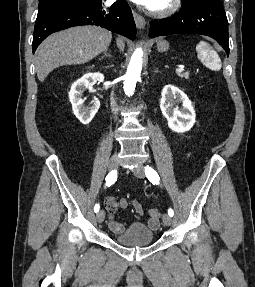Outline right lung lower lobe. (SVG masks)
<instances>
[{"label": "right lung lower lobe", "instance_id": "1", "mask_svg": "<svg viewBox=\"0 0 255 287\" xmlns=\"http://www.w3.org/2000/svg\"><path fill=\"white\" fill-rule=\"evenodd\" d=\"M80 25H96L131 40L136 38L135 22L126 0H118L108 9L92 5L54 7L38 13L33 35V53L50 34Z\"/></svg>", "mask_w": 255, "mask_h": 287}]
</instances>
